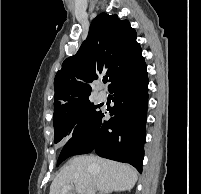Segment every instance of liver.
Returning a JSON list of instances; mask_svg holds the SVG:
<instances>
[{"label":"liver","mask_w":201,"mask_h":194,"mask_svg":"<svg viewBox=\"0 0 201 194\" xmlns=\"http://www.w3.org/2000/svg\"><path fill=\"white\" fill-rule=\"evenodd\" d=\"M137 178V171L130 165L94 155L77 156L69 160L54 178L49 194H61L64 186H74L77 194H87L91 185L104 194L130 191ZM66 194L72 193L68 191Z\"/></svg>","instance_id":"1"}]
</instances>
